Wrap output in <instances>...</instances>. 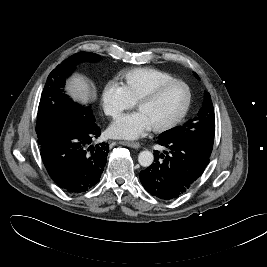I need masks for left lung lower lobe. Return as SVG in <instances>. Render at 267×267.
Wrapping results in <instances>:
<instances>
[{
  "label": "left lung lower lobe",
  "instance_id": "left-lung-lower-lobe-1",
  "mask_svg": "<svg viewBox=\"0 0 267 267\" xmlns=\"http://www.w3.org/2000/svg\"><path fill=\"white\" fill-rule=\"evenodd\" d=\"M166 151H154L155 162L140 172L143 187L153 196L173 199L183 194L201 176L210 153L186 140L159 138Z\"/></svg>",
  "mask_w": 267,
  "mask_h": 267
}]
</instances>
